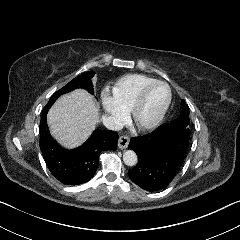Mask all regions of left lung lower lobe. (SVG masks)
<instances>
[{
	"label": "left lung lower lobe",
	"mask_w": 240,
	"mask_h": 240,
	"mask_svg": "<svg viewBox=\"0 0 240 240\" xmlns=\"http://www.w3.org/2000/svg\"><path fill=\"white\" fill-rule=\"evenodd\" d=\"M189 128L171 121L153 132L130 139L129 148L138 163L129 172L130 179L146 191L167 187L180 169L189 147Z\"/></svg>",
	"instance_id": "left-lung-lower-lobe-1"
}]
</instances>
